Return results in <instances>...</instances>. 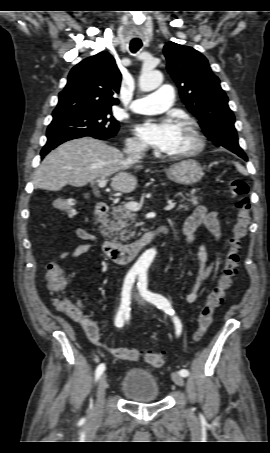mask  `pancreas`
<instances>
[{
  "instance_id": "1",
  "label": "pancreas",
  "mask_w": 270,
  "mask_h": 453,
  "mask_svg": "<svg viewBox=\"0 0 270 453\" xmlns=\"http://www.w3.org/2000/svg\"><path fill=\"white\" fill-rule=\"evenodd\" d=\"M196 192V190H192L190 191V193H186V197H183V201H187L188 203L182 204L180 207L188 210L187 204L197 206L202 198L198 197L196 195ZM135 221L136 213L128 210L125 205L114 207L112 212V220L107 221L109 222V224L105 225L106 228L103 230V232L107 236L119 235L121 240L129 239L130 237L134 236L135 232L132 231V224L135 223ZM106 230L108 232H105Z\"/></svg>"
}]
</instances>
